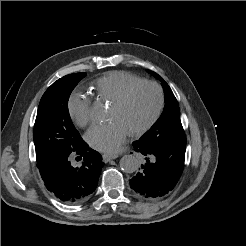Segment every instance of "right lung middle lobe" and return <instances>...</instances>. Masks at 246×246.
Listing matches in <instances>:
<instances>
[{
  "label": "right lung middle lobe",
  "instance_id": "dd1d6c3e",
  "mask_svg": "<svg viewBox=\"0 0 246 246\" xmlns=\"http://www.w3.org/2000/svg\"><path fill=\"white\" fill-rule=\"evenodd\" d=\"M85 76L84 72L66 75L43 94L33 129L37 163L71 152L82 140L71 121L68 100Z\"/></svg>",
  "mask_w": 246,
  "mask_h": 246
}]
</instances>
